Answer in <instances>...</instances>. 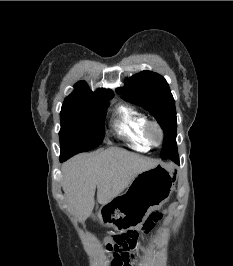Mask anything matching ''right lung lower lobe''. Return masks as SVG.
I'll return each instance as SVG.
<instances>
[{"mask_svg": "<svg viewBox=\"0 0 233 266\" xmlns=\"http://www.w3.org/2000/svg\"><path fill=\"white\" fill-rule=\"evenodd\" d=\"M65 160H67L65 157H60L61 162L65 161Z\"/></svg>", "mask_w": 233, "mask_h": 266, "instance_id": "right-lung-lower-lobe-1", "label": "right lung lower lobe"}]
</instances>
